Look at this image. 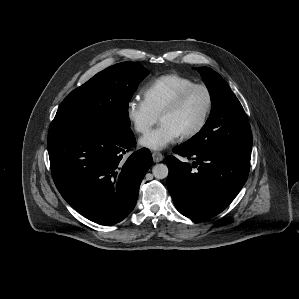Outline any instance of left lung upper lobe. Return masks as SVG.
I'll return each mask as SVG.
<instances>
[{
  "label": "left lung upper lobe",
  "mask_w": 299,
  "mask_h": 299,
  "mask_svg": "<svg viewBox=\"0 0 299 299\" xmlns=\"http://www.w3.org/2000/svg\"><path fill=\"white\" fill-rule=\"evenodd\" d=\"M198 71L210 93L211 113L200 132L183 144L204 153H251L252 132L239 100L218 73L207 67Z\"/></svg>",
  "instance_id": "5c2ea615"
}]
</instances>
